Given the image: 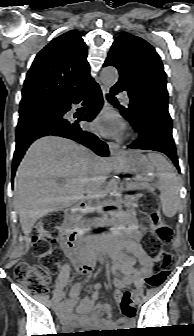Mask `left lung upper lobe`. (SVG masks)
<instances>
[{"mask_svg": "<svg viewBox=\"0 0 194 336\" xmlns=\"http://www.w3.org/2000/svg\"><path fill=\"white\" fill-rule=\"evenodd\" d=\"M104 66H115L121 83L131 96L126 113L168 110L166 73L156 50L140 37L123 33L112 44Z\"/></svg>", "mask_w": 194, "mask_h": 336, "instance_id": "left-lung-upper-lobe-1", "label": "left lung upper lobe"}]
</instances>
